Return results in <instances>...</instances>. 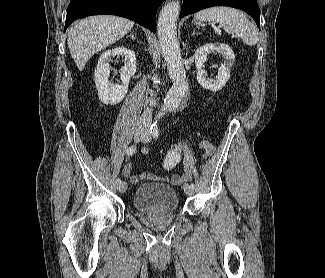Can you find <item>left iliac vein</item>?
<instances>
[{
	"label": "left iliac vein",
	"mask_w": 325,
	"mask_h": 278,
	"mask_svg": "<svg viewBox=\"0 0 325 278\" xmlns=\"http://www.w3.org/2000/svg\"><path fill=\"white\" fill-rule=\"evenodd\" d=\"M141 142L143 143H148L151 140V134L149 130L145 131L144 136L140 139ZM183 190L187 195H193L194 194V189L187 183L183 185Z\"/></svg>",
	"instance_id": "obj_1"
}]
</instances>
